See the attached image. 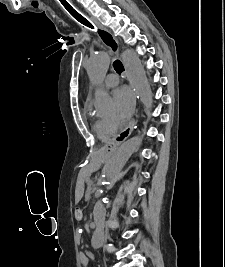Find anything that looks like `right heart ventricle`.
<instances>
[{"instance_id":"obj_1","label":"right heart ventricle","mask_w":225,"mask_h":267,"mask_svg":"<svg viewBox=\"0 0 225 267\" xmlns=\"http://www.w3.org/2000/svg\"><path fill=\"white\" fill-rule=\"evenodd\" d=\"M94 130L96 132V134L98 135L99 138L107 140L109 139L112 134L109 133L105 126H104V120L101 118H96L94 120V124H93Z\"/></svg>"}]
</instances>
